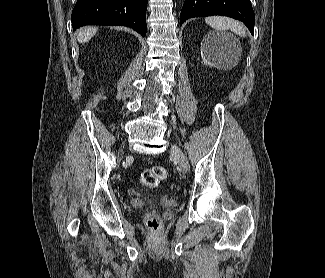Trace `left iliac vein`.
Returning <instances> with one entry per match:
<instances>
[{
  "label": "left iliac vein",
  "instance_id": "obj_1",
  "mask_svg": "<svg viewBox=\"0 0 325 278\" xmlns=\"http://www.w3.org/2000/svg\"><path fill=\"white\" fill-rule=\"evenodd\" d=\"M170 153L174 157V159L178 162L181 169L184 172H186L188 170L189 165L185 154L175 145L171 146Z\"/></svg>",
  "mask_w": 325,
  "mask_h": 278
}]
</instances>
